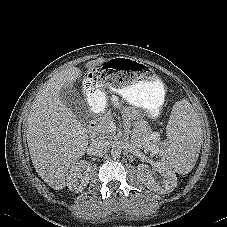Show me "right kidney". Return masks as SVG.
Segmentation results:
<instances>
[{
	"instance_id": "right-kidney-1",
	"label": "right kidney",
	"mask_w": 227,
	"mask_h": 227,
	"mask_svg": "<svg viewBox=\"0 0 227 227\" xmlns=\"http://www.w3.org/2000/svg\"><path fill=\"white\" fill-rule=\"evenodd\" d=\"M92 165L87 161H79L73 164L67 176V186L70 191L82 192L89 183Z\"/></svg>"
}]
</instances>
